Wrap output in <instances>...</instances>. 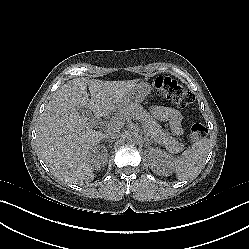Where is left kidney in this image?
I'll return each instance as SVG.
<instances>
[{"instance_id":"5707ae66","label":"left kidney","mask_w":249,"mask_h":249,"mask_svg":"<svg viewBox=\"0 0 249 249\" xmlns=\"http://www.w3.org/2000/svg\"><path fill=\"white\" fill-rule=\"evenodd\" d=\"M157 154L163 155L161 151H156Z\"/></svg>"}]
</instances>
